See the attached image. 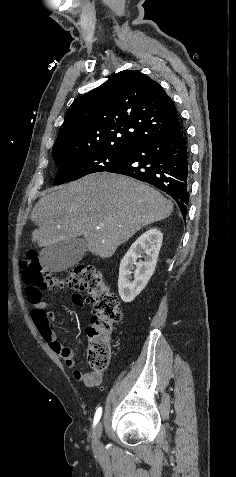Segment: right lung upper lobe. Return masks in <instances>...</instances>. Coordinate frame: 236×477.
I'll list each match as a JSON object with an SVG mask.
<instances>
[{"label": "right lung upper lobe", "mask_w": 236, "mask_h": 477, "mask_svg": "<svg viewBox=\"0 0 236 477\" xmlns=\"http://www.w3.org/2000/svg\"><path fill=\"white\" fill-rule=\"evenodd\" d=\"M178 121L173 101L156 81L124 70L72 103L53 157L87 150L128 153L168 133Z\"/></svg>", "instance_id": "1"}]
</instances>
